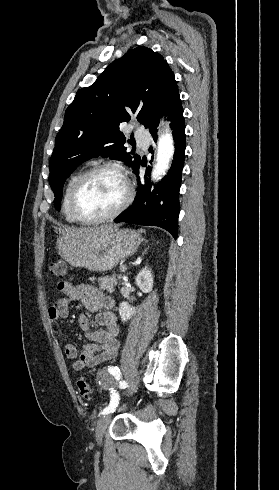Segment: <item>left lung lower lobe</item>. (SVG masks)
<instances>
[{
  "mask_svg": "<svg viewBox=\"0 0 279 490\" xmlns=\"http://www.w3.org/2000/svg\"><path fill=\"white\" fill-rule=\"evenodd\" d=\"M164 115L171 121L170 125L175 140V154L171 168L162 181L152 187L146 176L145 183L140 182L138 173L141 165H144L143 161L140 160L134 171L138 180L135 200L114 222L158 226L170 232L176 239L180 211L179 190L186 145L185 121L180 96L172 102ZM157 126L158 121L148 127L154 141L157 139Z\"/></svg>",
  "mask_w": 279,
  "mask_h": 490,
  "instance_id": "left-lung-lower-lobe-1",
  "label": "left lung lower lobe"
}]
</instances>
